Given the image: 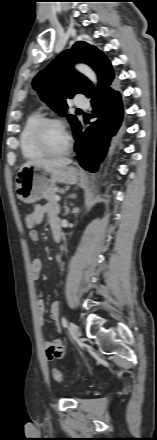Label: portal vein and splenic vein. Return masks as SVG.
I'll list each match as a JSON object with an SVG mask.
<instances>
[{
	"instance_id": "obj_1",
	"label": "portal vein and splenic vein",
	"mask_w": 157,
	"mask_h": 440,
	"mask_svg": "<svg viewBox=\"0 0 157 440\" xmlns=\"http://www.w3.org/2000/svg\"><path fill=\"white\" fill-rule=\"evenodd\" d=\"M55 200H56V201H60V200H61L60 196L56 195V196H55Z\"/></svg>"
}]
</instances>
